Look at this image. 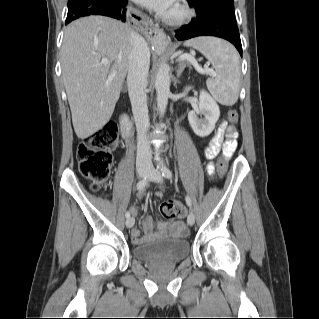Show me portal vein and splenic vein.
<instances>
[{
	"label": "portal vein and splenic vein",
	"mask_w": 319,
	"mask_h": 319,
	"mask_svg": "<svg viewBox=\"0 0 319 319\" xmlns=\"http://www.w3.org/2000/svg\"><path fill=\"white\" fill-rule=\"evenodd\" d=\"M183 60L190 61V62L193 64V66L195 67V69H196L199 73H201V74H209V75H212V74H213V71L210 70V69H208V68L202 69V68L198 65V63H197V61L195 60V58H194L192 55H190V54H183V55H181V56L179 57V59H178V61H183ZM101 63L106 65V64L109 63V60H108L107 58H103V59L101 60Z\"/></svg>",
	"instance_id": "1"
}]
</instances>
